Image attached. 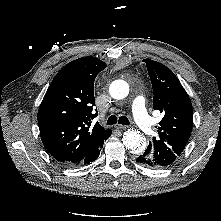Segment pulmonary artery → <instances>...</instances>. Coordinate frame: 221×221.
<instances>
[{
    "label": "pulmonary artery",
    "mask_w": 221,
    "mask_h": 221,
    "mask_svg": "<svg viewBox=\"0 0 221 221\" xmlns=\"http://www.w3.org/2000/svg\"><path fill=\"white\" fill-rule=\"evenodd\" d=\"M132 112L139 128L145 134H150L152 132V121L146 111L145 100L142 96H138L134 99L132 104Z\"/></svg>",
    "instance_id": "e3ab8cb5"
}]
</instances>
